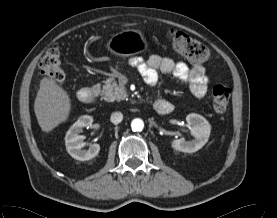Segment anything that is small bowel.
<instances>
[{
	"mask_svg": "<svg viewBox=\"0 0 277 218\" xmlns=\"http://www.w3.org/2000/svg\"><path fill=\"white\" fill-rule=\"evenodd\" d=\"M130 64L138 70L145 83L150 87H155L157 85L158 72H161L163 74H173L178 80L188 84L191 93L197 98H203L207 93L209 78L206 75L204 67L201 65L190 68L184 62H175L169 57H162L160 55H152L147 60L134 57L130 59ZM164 100L165 99L159 98L154 103L155 110L160 114L163 113L158 107L161 101ZM171 110L172 105L170 110L165 114L169 113Z\"/></svg>",
	"mask_w": 277,
	"mask_h": 218,
	"instance_id": "c3829d8e",
	"label": "small bowel"
}]
</instances>
